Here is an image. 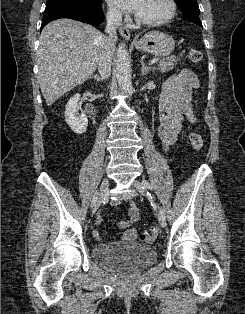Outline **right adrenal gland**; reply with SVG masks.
I'll return each mask as SVG.
<instances>
[{
    "mask_svg": "<svg viewBox=\"0 0 245 314\" xmlns=\"http://www.w3.org/2000/svg\"><path fill=\"white\" fill-rule=\"evenodd\" d=\"M91 78H94L97 82L101 80V77L99 75H94Z\"/></svg>",
    "mask_w": 245,
    "mask_h": 314,
    "instance_id": "1",
    "label": "right adrenal gland"
}]
</instances>
